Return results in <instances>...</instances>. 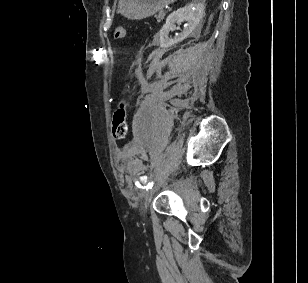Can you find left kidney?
<instances>
[{"mask_svg":"<svg viewBox=\"0 0 308 283\" xmlns=\"http://www.w3.org/2000/svg\"><path fill=\"white\" fill-rule=\"evenodd\" d=\"M204 10V0H194L189 5L171 13L159 32L160 46L168 48L188 37L202 20L205 13ZM182 22H186L182 32L176 34L174 38H169V32L179 29V27H176V24L180 25Z\"/></svg>","mask_w":308,"mask_h":283,"instance_id":"5707ae66","label":"left kidney"}]
</instances>
